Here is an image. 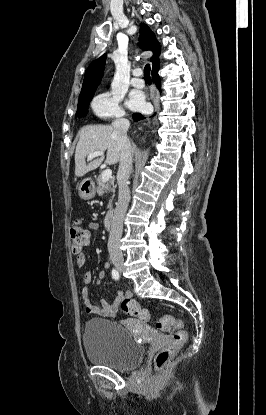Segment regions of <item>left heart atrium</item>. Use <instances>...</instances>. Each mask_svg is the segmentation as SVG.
<instances>
[{
	"label": "left heart atrium",
	"mask_w": 266,
	"mask_h": 415,
	"mask_svg": "<svg viewBox=\"0 0 266 415\" xmlns=\"http://www.w3.org/2000/svg\"><path fill=\"white\" fill-rule=\"evenodd\" d=\"M129 106L133 109H141L144 107V97L142 94L134 95L129 101Z\"/></svg>",
	"instance_id": "obj_1"
}]
</instances>
